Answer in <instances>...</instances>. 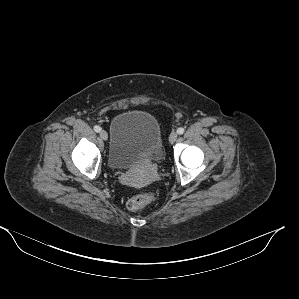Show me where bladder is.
I'll return each instance as SVG.
<instances>
[{
	"label": "bladder",
	"mask_w": 299,
	"mask_h": 299,
	"mask_svg": "<svg viewBox=\"0 0 299 299\" xmlns=\"http://www.w3.org/2000/svg\"><path fill=\"white\" fill-rule=\"evenodd\" d=\"M163 155L161 128L153 115L132 110L114 118L108 155L113 169H130L145 160L158 162Z\"/></svg>",
	"instance_id": "bladder-1"
}]
</instances>
